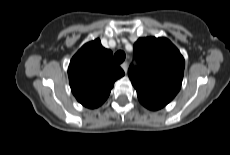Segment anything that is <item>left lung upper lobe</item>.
<instances>
[{
  "mask_svg": "<svg viewBox=\"0 0 230 155\" xmlns=\"http://www.w3.org/2000/svg\"><path fill=\"white\" fill-rule=\"evenodd\" d=\"M138 66L128 70L141 104L160 108L179 92L185 61L179 50L167 38H139L134 44Z\"/></svg>",
  "mask_w": 230,
  "mask_h": 155,
  "instance_id": "left-lung-upper-lobe-1",
  "label": "left lung upper lobe"
}]
</instances>
